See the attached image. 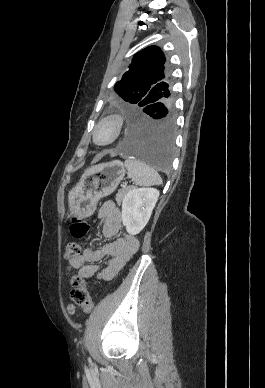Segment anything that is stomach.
<instances>
[{
	"label": "stomach",
	"mask_w": 265,
	"mask_h": 388,
	"mask_svg": "<svg viewBox=\"0 0 265 388\" xmlns=\"http://www.w3.org/2000/svg\"><path fill=\"white\" fill-rule=\"evenodd\" d=\"M124 176L125 166L119 160L87 169L79 183L69 192L70 214L82 218L92 215L98 201L113 193Z\"/></svg>",
	"instance_id": "obj_1"
}]
</instances>
